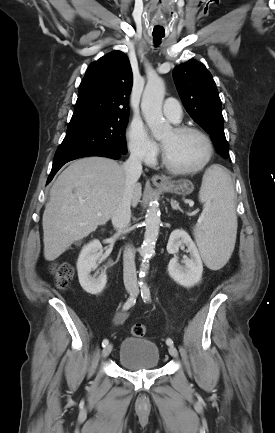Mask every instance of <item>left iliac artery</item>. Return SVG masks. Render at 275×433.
<instances>
[{
    "label": "left iliac artery",
    "instance_id": "left-iliac-artery-1",
    "mask_svg": "<svg viewBox=\"0 0 275 433\" xmlns=\"http://www.w3.org/2000/svg\"><path fill=\"white\" fill-rule=\"evenodd\" d=\"M141 297L144 300V302L150 301V290H149V287L146 284H143L141 286ZM166 344L169 345V346H172L173 345V341L170 338H168L166 340Z\"/></svg>",
    "mask_w": 275,
    "mask_h": 433
}]
</instances>
